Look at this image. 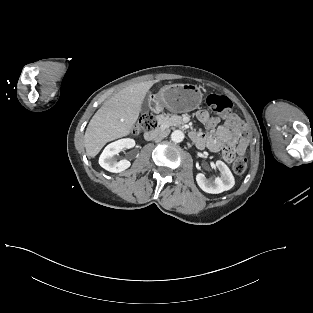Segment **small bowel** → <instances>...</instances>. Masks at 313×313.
<instances>
[{"label": "small bowel", "mask_w": 313, "mask_h": 313, "mask_svg": "<svg viewBox=\"0 0 313 313\" xmlns=\"http://www.w3.org/2000/svg\"><path fill=\"white\" fill-rule=\"evenodd\" d=\"M197 118L208 129L215 130L214 134L199 131L191 133L193 141L199 148H208L212 152L230 148L239 156L245 154L249 139L246 125L237 115L229 113L221 120L219 117L210 116L206 110H200L197 112Z\"/></svg>", "instance_id": "small-bowel-1"}]
</instances>
